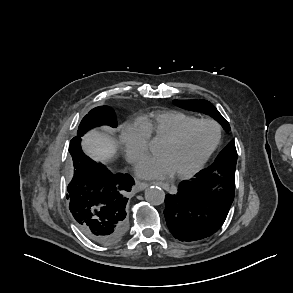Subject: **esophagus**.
Wrapping results in <instances>:
<instances>
[{
  "label": "esophagus",
  "mask_w": 293,
  "mask_h": 293,
  "mask_svg": "<svg viewBox=\"0 0 293 293\" xmlns=\"http://www.w3.org/2000/svg\"><path fill=\"white\" fill-rule=\"evenodd\" d=\"M154 184L159 185V186L163 187L164 189H168L169 188V184H167V183L155 182ZM147 187H148V184L147 183L140 182V181L137 182V189L139 191H142V190L146 189Z\"/></svg>",
  "instance_id": "1"
}]
</instances>
